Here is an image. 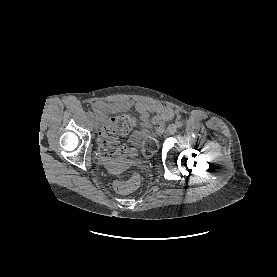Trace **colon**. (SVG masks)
I'll return each mask as SVG.
<instances>
[{"instance_id": "obj_1", "label": "colon", "mask_w": 277, "mask_h": 277, "mask_svg": "<svg viewBox=\"0 0 277 277\" xmlns=\"http://www.w3.org/2000/svg\"><path fill=\"white\" fill-rule=\"evenodd\" d=\"M136 125V119L132 115H119L111 118L109 124L99 133V154L106 159H125L136 156V151L119 142L121 136L130 133ZM157 150L156 142L147 140L143 147V154L152 155ZM139 178L132 177L130 180L119 179L113 184L114 190L121 194H128L139 188Z\"/></svg>"}]
</instances>
